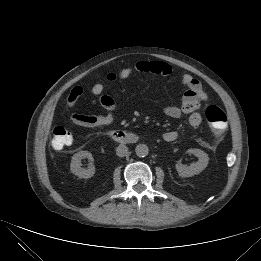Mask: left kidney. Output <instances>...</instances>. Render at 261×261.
<instances>
[{
    "label": "left kidney",
    "mask_w": 261,
    "mask_h": 261,
    "mask_svg": "<svg viewBox=\"0 0 261 261\" xmlns=\"http://www.w3.org/2000/svg\"><path fill=\"white\" fill-rule=\"evenodd\" d=\"M187 153L194 154L198 157V161L192 163L190 166H185L181 162H177L176 170L179 176L191 177L202 172L209 163L208 154L200 149H188Z\"/></svg>",
    "instance_id": "left-kidney-1"
}]
</instances>
